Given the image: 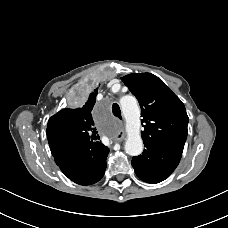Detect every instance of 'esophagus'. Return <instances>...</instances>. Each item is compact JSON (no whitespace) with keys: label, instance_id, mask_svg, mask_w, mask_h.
Returning a JSON list of instances; mask_svg holds the SVG:
<instances>
[{"label":"esophagus","instance_id":"1","mask_svg":"<svg viewBox=\"0 0 228 228\" xmlns=\"http://www.w3.org/2000/svg\"><path fill=\"white\" fill-rule=\"evenodd\" d=\"M124 138H125V132L122 129L116 134L115 140L122 141Z\"/></svg>","mask_w":228,"mask_h":228}]
</instances>
